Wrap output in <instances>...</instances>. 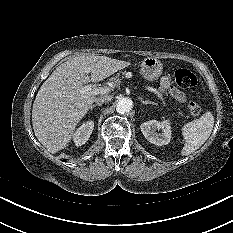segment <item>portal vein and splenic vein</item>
Listing matches in <instances>:
<instances>
[{"label":"portal vein and splenic vein","mask_w":233,"mask_h":233,"mask_svg":"<svg viewBox=\"0 0 233 233\" xmlns=\"http://www.w3.org/2000/svg\"><path fill=\"white\" fill-rule=\"evenodd\" d=\"M148 91L154 92L155 94L158 95V97L163 101V96L154 88L151 87H146ZM82 92L83 93H90L92 95H98V94H107L110 92V88L109 87H94L92 85H86L82 88ZM163 103L165 104V102L163 101Z\"/></svg>","instance_id":"portal-vein-and-splenic-vein-1"}]
</instances>
